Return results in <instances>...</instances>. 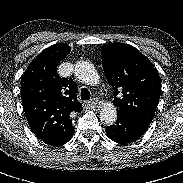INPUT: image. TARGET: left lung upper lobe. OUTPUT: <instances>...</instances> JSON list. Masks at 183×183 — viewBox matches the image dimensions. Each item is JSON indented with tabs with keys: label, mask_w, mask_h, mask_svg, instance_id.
<instances>
[{
	"label": "left lung upper lobe",
	"mask_w": 183,
	"mask_h": 183,
	"mask_svg": "<svg viewBox=\"0 0 183 183\" xmlns=\"http://www.w3.org/2000/svg\"><path fill=\"white\" fill-rule=\"evenodd\" d=\"M101 53L106 78L114 89L117 114L150 123L161 94L157 69L128 44H105Z\"/></svg>",
	"instance_id": "1"
}]
</instances>
